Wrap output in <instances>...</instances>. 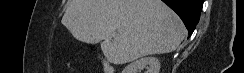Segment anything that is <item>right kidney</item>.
<instances>
[{
	"instance_id": "right-kidney-1",
	"label": "right kidney",
	"mask_w": 244,
	"mask_h": 73,
	"mask_svg": "<svg viewBox=\"0 0 244 73\" xmlns=\"http://www.w3.org/2000/svg\"><path fill=\"white\" fill-rule=\"evenodd\" d=\"M143 68H147L149 73H159L160 62L155 57H144L127 65L122 73H138Z\"/></svg>"
}]
</instances>
